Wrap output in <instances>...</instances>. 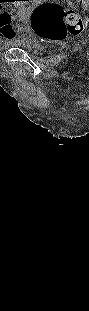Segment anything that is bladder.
Wrapping results in <instances>:
<instances>
[{"label":"bladder","instance_id":"bladder-1","mask_svg":"<svg viewBox=\"0 0 89 311\" xmlns=\"http://www.w3.org/2000/svg\"><path fill=\"white\" fill-rule=\"evenodd\" d=\"M14 47L25 49L31 52H39L42 50V45L33 38H27L21 41L12 43Z\"/></svg>","mask_w":89,"mask_h":311}]
</instances>
